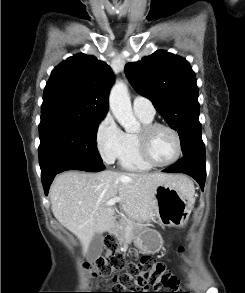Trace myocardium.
Masks as SVG:
<instances>
[{
    "label": "myocardium",
    "instance_id": "obj_1",
    "mask_svg": "<svg viewBox=\"0 0 245 293\" xmlns=\"http://www.w3.org/2000/svg\"><path fill=\"white\" fill-rule=\"evenodd\" d=\"M159 128H164L168 130L169 132H171L176 143V153L174 157L171 160L164 163L155 162L149 153L150 136L155 130ZM136 136H137V147H138L139 155L142 158V160L148 165H150L151 167L162 168V167L170 166L174 164L181 156V153H182L181 137L178 131L168 124L154 122L147 125H143V127L137 133Z\"/></svg>",
    "mask_w": 245,
    "mask_h": 293
}]
</instances>
